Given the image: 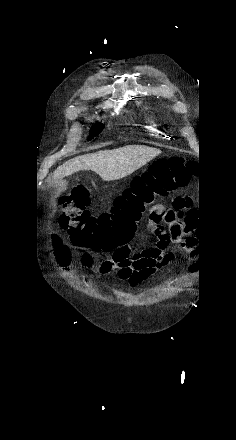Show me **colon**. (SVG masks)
Returning <instances> with one entry per match:
<instances>
[{"label": "colon", "instance_id": "obj_1", "mask_svg": "<svg viewBox=\"0 0 236 440\" xmlns=\"http://www.w3.org/2000/svg\"><path fill=\"white\" fill-rule=\"evenodd\" d=\"M193 175L192 163L182 157L160 160L136 177L130 188L115 199L111 212L100 215H92L87 209L90 203L88 189L75 186L60 197V225L74 245L112 250L133 237L149 208L186 186ZM53 240L60 244L56 236Z\"/></svg>", "mask_w": 236, "mask_h": 440}]
</instances>
